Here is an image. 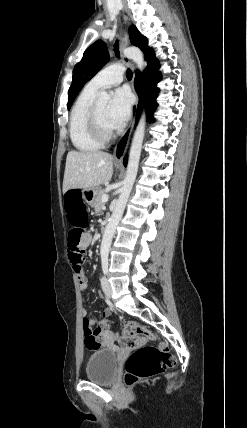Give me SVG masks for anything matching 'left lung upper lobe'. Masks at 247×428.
<instances>
[{
	"mask_svg": "<svg viewBox=\"0 0 247 428\" xmlns=\"http://www.w3.org/2000/svg\"><path fill=\"white\" fill-rule=\"evenodd\" d=\"M130 41L138 46L145 54L146 59L154 54L148 47L146 37L141 35L138 29L132 25L129 28ZM109 60V53L105 42L98 40L93 43L83 54L82 60L75 66L72 77V84L68 94V109L81 88L88 82Z\"/></svg>",
	"mask_w": 247,
	"mask_h": 428,
	"instance_id": "5c2ea615",
	"label": "left lung upper lobe"
}]
</instances>
